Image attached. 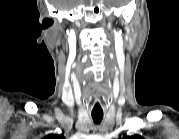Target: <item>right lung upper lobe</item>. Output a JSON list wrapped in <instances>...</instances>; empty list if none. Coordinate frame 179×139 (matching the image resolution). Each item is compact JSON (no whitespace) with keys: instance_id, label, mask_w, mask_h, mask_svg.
Wrapping results in <instances>:
<instances>
[{"instance_id":"1","label":"right lung upper lobe","mask_w":179,"mask_h":139,"mask_svg":"<svg viewBox=\"0 0 179 139\" xmlns=\"http://www.w3.org/2000/svg\"><path fill=\"white\" fill-rule=\"evenodd\" d=\"M62 135H48L45 137V139H62Z\"/></svg>"}]
</instances>
